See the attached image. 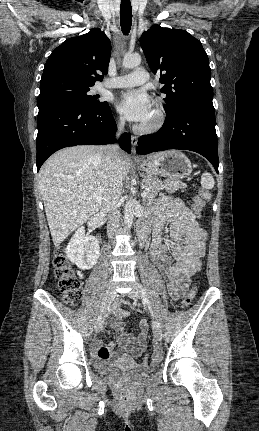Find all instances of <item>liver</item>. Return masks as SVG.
Instances as JSON below:
<instances>
[{
    "mask_svg": "<svg viewBox=\"0 0 259 431\" xmlns=\"http://www.w3.org/2000/svg\"><path fill=\"white\" fill-rule=\"evenodd\" d=\"M105 155L102 147L80 145L56 152L43 164L39 187L55 247L101 208L107 181ZM130 169L129 156L121 153L122 180Z\"/></svg>",
    "mask_w": 259,
    "mask_h": 431,
    "instance_id": "obj_1",
    "label": "liver"
}]
</instances>
